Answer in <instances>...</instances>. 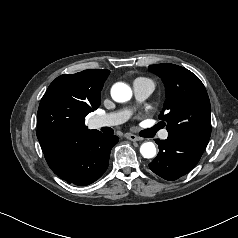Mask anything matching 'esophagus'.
<instances>
[{"mask_svg": "<svg viewBox=\"0 0 238 238\" xmlns=\"http://www.w3.org/2000/svg\"><path fill=\"white\" fill-rule=\"evenodd\" d=\"M126 139L130 140V141H140L141 138L134 135V134H126L125 135Z\"/></svg>", "mask_w": 238, "mask_h": 238, "instance_id": "obj_1", "label": "esophagus"}]
</instances>
